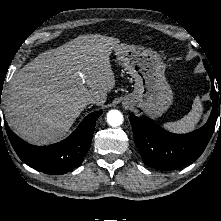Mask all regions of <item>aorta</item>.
<instances>
[{
    "label": "aorta",
    "mask_w": 221,
    "mask_h": 221,
    "mask_svg": "<svg viewBox=\"0 0 221 221\" xmlns=\"http://www.w3.org/2000/svg\"><path fill=\"white\" fill-rule=\"evenodd\" d=\"M107 122L112 127H117L123 123V115L118 110H110L107 113Z\"/></svg>",
    "instance_id": "aorta-1"
}]
</instances>
